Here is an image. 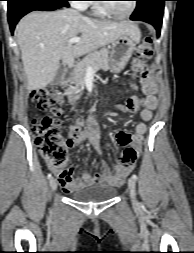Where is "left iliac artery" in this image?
I'll return each instance as SVG.
<instances>
[{"label": "left iliac artery", "mask_w": 194, "mask_h": 253, "mask_svg": "<svg viewBox=\"0 0 194 253\" xmlns=\"http://www.w3.org/2000/svg\"><path fill=\"white\" fill-rule=\"evenodd\" d=\"M132 179H133L134 181H136V180L138 179L137 175H136V174H133V175H132Z\"/></svg>", "instance_id": "obj_1"}]
</instances>
